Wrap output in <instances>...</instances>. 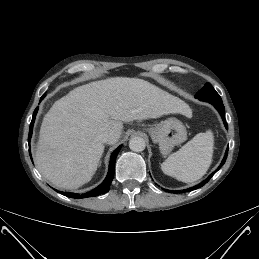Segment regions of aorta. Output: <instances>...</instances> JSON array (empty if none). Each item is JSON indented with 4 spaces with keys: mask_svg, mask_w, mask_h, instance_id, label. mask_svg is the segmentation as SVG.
<instances>
[{
    "mask_svg": "<svg viewBox=\"0 0 259 259\" xmlns=\"http://www.w3.org/2000/svg\"><path fill=\"white\" fill-rule=\"evenodd\" d=\"M145 147L146 143L142 137L134 136L129 141V148L134 152H142Z\"/></svg>",
    "mask_w": 259,
    "mask_h": 259,
    "instance_id": "obj_1",
    "label": "aorta"
}]
</instances>
